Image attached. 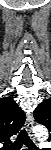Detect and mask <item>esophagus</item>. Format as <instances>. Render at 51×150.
<instances>
[{
    "mask_svg": "<svg viewBox=\"0 0 51 150\" xmlns=\"http://www.w3.org/2000/svg\"><path fill=\"white\" fill-rule=\"evenodd\" d=\"M33 125H34L33 116L32 115H28L27 122H26V129H27V132H28L30 138L32 140H35V137H34V134H33Z\"/></svg>",
    "mask_w": 51,
    "mask_h": 150,
    "instance_id": "esophagus-1",
    "label": "esophagus"
}]
</instances>
